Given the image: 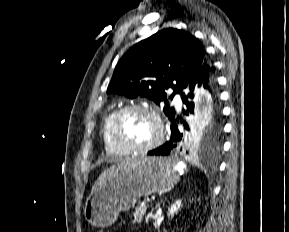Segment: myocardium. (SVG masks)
Here are the masks:
<instances>
[{
    "label": "myocardium",
    "instance_id": "obj_1",
    "mask_svg": "<svg viewBox=\"0 0 289 232\" xmlns=\"http://www.w3.org/2000/svg\"><path fill=\"white\" fill-rule=\"evenodd\" d=\"M131 111H142L151 115L158 128L156 138L145 146H134L124 142L120 136V124L125 114ZM111 136L115 144L127 153L145 154L159 147L165 136V127L159 113L153 107L145 104H130L117 110L111 125Z\"/></svg>",
    "mask_w": 289,
    "mask_h": 232
}]
</instances>
